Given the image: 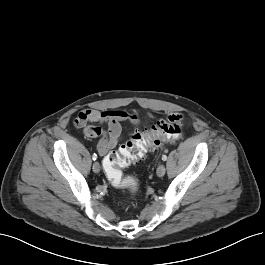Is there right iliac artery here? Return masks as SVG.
<instances>
[{"mask_svg":"<svg viewBox=\"0 0 265 265\" xmlns=\"http://www.w3.org/2000/svg\"><path fill=\"white\" fill-rule=\"evenodd\" d=\"M97 158H98L97 155L96 154H93L92 159L93 160H96Z\"/></svg>","mask_w":265,"mask_h":265,"instance_id":"1","label":"right iliac artery"}]
</instances>
